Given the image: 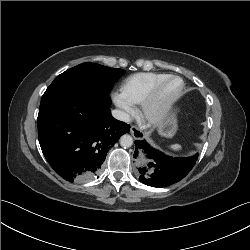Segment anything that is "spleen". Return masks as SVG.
I'll return each instance as SVG.
<instances>
[{"label":"spleen","instance_id":"1","mask_svg":"<svg viewBox=\"0 0 250 250\" xmlns=\"http://www.w3.org/2000/svg\"><path fill=\"white\" fill-rule=\"evenodd\" d=\"M169 148L173 151H180L182 147L180 144H173V145L169 146Z\"/></svg>","mask_w":250,"mask_h":250}]
</instances>
